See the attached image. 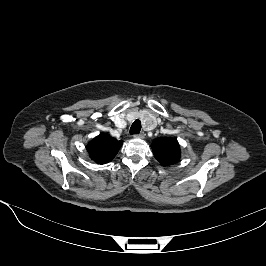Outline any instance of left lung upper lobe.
Instances as JSON below:
<instances>
[{
	"label": "left lung upper lobe",
	"instance_id": "left-lung-upper-lobe-1",
	"mask_svg": "<svg viewBox=\"0 0 266 266\" xmlns=\"http://www.w3.org/2000/svg\"><path fill=\"white\" fill-rule=\"evenodd\" d=\"M151 146L155 158L163 166L173 165L181 157L180 146L175 138L160 137L154 139Z\"/></svg>",
	"mask_w": 266,
	"mask_h": 266
}]
</instances>
